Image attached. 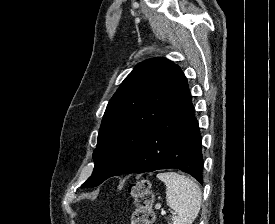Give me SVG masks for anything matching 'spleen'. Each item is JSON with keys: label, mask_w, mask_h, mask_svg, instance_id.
I'll list each match as a JSON object with an SVG mask.
<instances>
[{"label": "spleen", "mask_w": 275, "mask_h": 224, "mask_svg": "<svg viewBox=\"0 0 275 224\" xmlns=\"http://www.w3.org/2000/svg\"><path fill=\"white\" fill-rule=\"evenodd\" d=\"M157 178L165 183L166 202L174 210L169 224H192L201 207L199 186L189 177L175 172L158 173Z\"/></svg>", "instance_id": "1"}]
</instances>
